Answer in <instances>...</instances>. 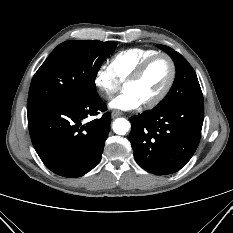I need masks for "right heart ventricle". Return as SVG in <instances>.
<instances>
[{"mask_svg": "<svg viewBox=\"0 0 233 233\" xmlns=\"http://www.w3.org/2000/svg\"><path fill=\"white\" fill-rule=\"evenodd\" d=\"M153 49L132 48L114 55L108 63V68L114 77L124 82L136 68L147 58L157 54Z\"/></svg>", "mask_w": 233, "mask_h": 233, "instance_id": "obj_1", "label": "right heart ventricle"}]
</instances>
